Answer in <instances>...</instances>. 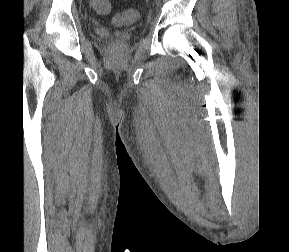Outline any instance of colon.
<instances>
[{
  "label": "colon",
  "instance_id": "1",
  "mask_svg": "<svg viewBox=\"0 0 289 252\" xmlns=\"http://www.w3.org/2000/svg\"><path fill=\"white\" fill-rule=\"evenodd\" d=\"M93 7L98 13L101 14H107L111 9L109 0H93ZM138 18V11L136 9L129 8L126 9L123 14L119 16L118 19L126 23H133L138 20Z\"/></svg>",
  "mask_w": 289,
  "mask_h": 252
}]
</instances>
